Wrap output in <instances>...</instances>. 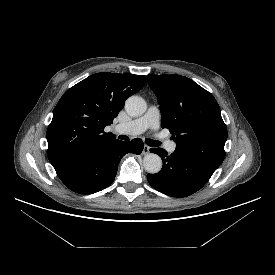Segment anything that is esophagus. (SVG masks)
<instances>
[{
  "label": "esophagus",
  "instance_id": "esophagus-1",
  "mask_svg": "<svg viewBox=\"0 0 275 275\" xmlns=\"http://www.w3.org/2000/svg\"><path fill=\"white\" fill-rule=\"evenodd\" d=\"M142 153H143L144 155H146V154L150 153V147H149V146H147V145H145V146H144V148H143Z\"/></svg>",
  "mask_w": 275,
  "mask_h": 275
}]
</instances>
